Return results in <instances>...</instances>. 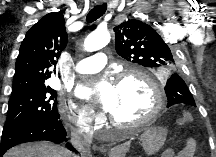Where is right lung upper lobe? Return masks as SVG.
Segmentation results:
<instances>
[{"label": "right lung upper lobe", "mask_w": 216, "mask_h": 157, "mask_svg": "<svg viewBox=\"0 0 216 157\" xmlns=\"http://www.w3.org/2000/svg\"><path fill=\"white\" fill-rule=\"evenodd\" d=\"M68 41L62 12L45 15L26 33L15 64L11 94L46 86L49 68L65 49Z\"/></svg>", "instance_id": "cb5924a9"}]
</instances>
